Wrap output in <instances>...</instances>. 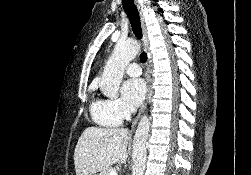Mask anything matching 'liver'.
I'll return each instance as SVG.
<instances>
[{
  "mask_svg": "<svg viewBox=\"0 0 251 175\" xmlns=\"http://www.w3.org/2000/svg\"><path fill=\"white\" fill-rule=\"evenodd\" d=\"M129 129L86 127L74 151L76 175H94L113 163H126Z\"/></svg>",
  "mask_w": 251,
  "mask_h": 175,
  "instance_id": "1",
  "label": "liver"
}]
</instances>
